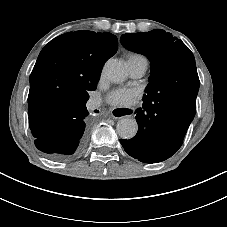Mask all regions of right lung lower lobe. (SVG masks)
<instances>
[{"label": "right lung lower lobe", "mask_w": 227, "mask_h": 227, "mask_svg": "<svg viewBox=\"0 0 227 227\" xmlns=\"http://www.w3.org/2000/svg\"><path fill=\"white\" fill-rule=\"evenodd\" d=\"M87 100L69 103L64 110L61 124L41 132L35 138L36 147L46 153L49 159L67 160L82 150L87 138L85 123V117L88 115Z\"/></svg>", "instance_id": "obj_1"}]
</instances>
